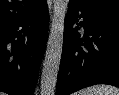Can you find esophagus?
<instances>
[{
    "mask_svg": "<svg viewBox=\"0 0 119 95\" xmlns=\"http://www.w3.org/2000/svg\"><path fill=\"white\" fill-rule=\"evenodd\" d=\"M48 6H49V9L51 11V19L53 20V17H52V8H53V6H52V0H49L48 1Z\"/></svg>",
    "mask_w": 119,
    "mask_h": 95,
    "instance_id": "esophagus-1",
    "label": "esophagus"
}]
</instances>
